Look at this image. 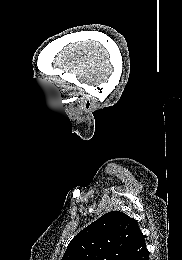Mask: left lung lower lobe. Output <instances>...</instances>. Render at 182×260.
I'll return each mask as SVG.
<instances>
[{
  "label": "left lung lower lobe",
  "mask_w": 182,
  "mask_h": 260,
  "mask_svg": "<svg viewBox=\"0 0 182 260\" xmlns=\"http://www.w3.org/2000/svg\"><path fill=\"white\" fill-rule=\"evenodd\" d=\"M122 260H149V252L141 231L130 245Z\"/></svg>",
  "instance_id": "obj_1"
}]
</instances>
